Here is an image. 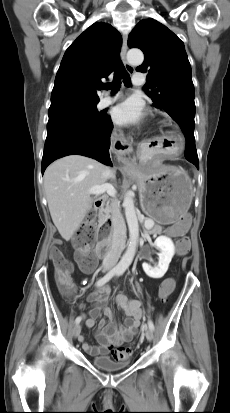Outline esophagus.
Wrapping results in <instances>:
<instances>
[{
	"instance_id": "34e87169",
	"label": "esophagus",
	"mask_w": 230,
	"mask_h": 413,
	"mask_svg": "<svg viewBox=\"0 0 230 413\" xmlns=\"http://www.w3.org/2000/svg\"><path fill=\"white\" fill-rule=\"evenodd\" d=\"M127 36L123 35V43H122V48H121V60L127 70L128 73L133 74L134 73V67L130 65L126 59V54H127ZM131 146L128 142L123 141L121 142V145L118 147V150L120 153H125L130 150Z\"/></svg>"
}]
</instances>
